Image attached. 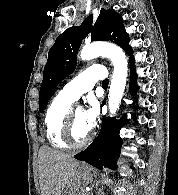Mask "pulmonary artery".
Returning a JSON list of instances; mask_svg holds the SVG:
<instances>
[{
	"mask_svg": "<svg viewBox=\"0 0 178 195\" xmlns=\"http://www.w3.org/2000/svg\"><path fill=\"white\" fill-rule=\"evenodd\" d=\"M106 74L104 66L93 65L68 82L60 93L72 102L76 101L83 93L92 89L98 80H103Z\"/></svg>",
	"mask_w": 178,
	"mask_h": 195,
	"instance_id": "e3ab8cb5",
	"label": "pulmonary artery"
}]
</instances>
